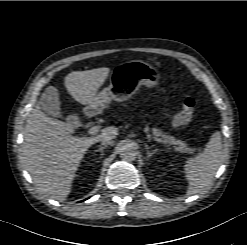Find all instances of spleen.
Listing matches in <instances>:
<instances>
[{
  "label": "spleen",
  "instance_id": "spleen-1",
  "mask_svg": "<svg viewBox=\"0 0 247 245\" xmlns=\"http://www.w3.org/2000/svg\"><path fill=\"white\" fill-rule=\"evenodd\" d=\"M221 151V134L217 131L212 134L202 153L187 159L184 173L188 181L189 195L200 192L212 183L221 163Z\"/></svg>",
  "mask_w": 247,
  "mask_h": 245
}]
</instances>
